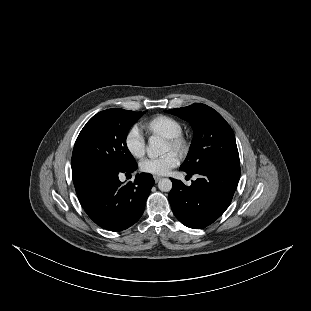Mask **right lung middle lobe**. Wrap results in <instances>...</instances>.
<instances>
[{"instance_id": "1", "label": "right lung middle lobe", "mask_w": 311, "mask_h": 311, "mask_svg": "<svg viewBox=\"0 0 311 311\" xmlns=\"http://www.w3.org/2000/svg\"><path fill=\"white\" fill-rule=\"evenodd\" d=\"M144 114L120 108L99 112L83 127L74 145L72 171L89 165L119 170L136 166L126 145L130 127Z\"/></svg>"}]
</instances>
